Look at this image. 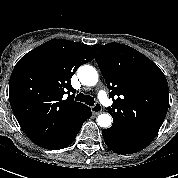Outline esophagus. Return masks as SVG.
I'll list each match as a JSON object with an SVG mask.
<instances>
[{
  "instance_id": "1",
  "label": "esophagus",
  "mask_w": 178,
  "mask_h": 178,
  "mask_svg": "<svg viewBox=\"0 0 178 178\" xmlns=\"http://www.w3.org/2000/svg\"><path fill=\"white\" fill-rule=\"evenodd\" d=\"M91 111L93 114L97 115L102 112V106L99 103H96L93 107H91Z\"/></svg>"
}]
</instances>
